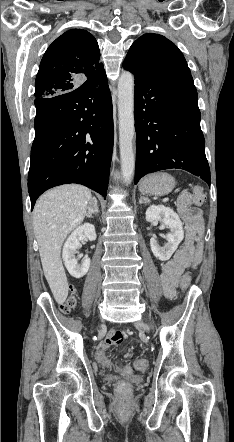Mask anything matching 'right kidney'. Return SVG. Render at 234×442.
I'll return each instance as SVG.
<instances>
[{"label":"right kidney","mask_w":234,"mask_h":442,"mask_svg":"<svg viewBox=\"0 0 234 442\" xmlns=\"http://www.w3.org/2000/svg\"><path fill=\"white\" fill-rule=\"evenodd\" d=\"M84 239L94 241L96 239V232L94 225L84 223L77 227L66 240L63 246L62 258L66 269L74 278L83 277L89 270L90 258L85 256L81 263H78L81 255L76 256L78 249L81 247L80 242Z\"/></svg>","instance_id":"obj_1"}]
</instances>
